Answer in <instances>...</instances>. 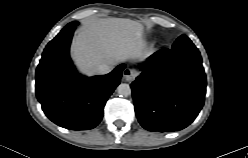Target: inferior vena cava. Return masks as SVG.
<instances>
[{"label":"inferior vena cava","instance_id":"obj_1","mask_svg":"<svg viewBox=\"0 0 248 158\" xmlns=\"http://www.w3.org/2000/svg\"><path fill=\"white\" fill-rule=\"evenodd\" d=\"M113 69V65H108V64H102L98 67V73L99 74H107L111 72Z\"/></svg>","mask_w":248,"mask_h":158}]
</instances>
